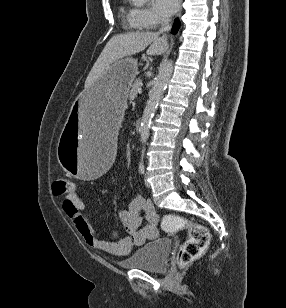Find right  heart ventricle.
<instances>
[{"instance_id":"e07e8e85","label":"right heart ventricle","mask_w":286,"mask_h":308,"mask_svg":"<svg viewBox=\"0 0 286 308\" xmlns=\"http://www.w3.org/2000/svg\"><path fill=\"white\" fill-rule=\"evenodd\" d=\"M120 14L124 23V26L127 29L133 31H141L144 28L139 24L137 9L129 7L123 4L120 8Z\"/></svg>"}]
</instances>
